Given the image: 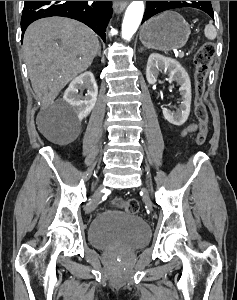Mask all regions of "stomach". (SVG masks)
<instances>
[{"label": "stomach", "instance_id": "1", "mask_svg": "<svg viewBox=\"0 0 237 300\" xmlns=\"http://www.w3.org/2000/svg\"><path fill=\"white\" fill-rule=\"evenodd\" d=\"M189 35L190 27L185 19L175 11H166L143 25L140 41L150 49L172 51L184 47Z\"/></svg>", "mask_w": 237, "mask_h": 300}]
</instances>
